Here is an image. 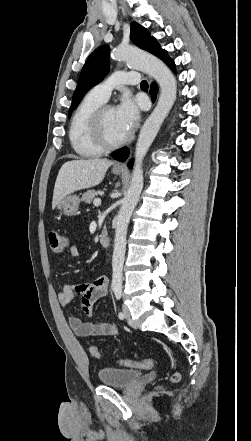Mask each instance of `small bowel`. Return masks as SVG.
<instances>
[{
    "mask_svg": "<svg viewBox=\"0 0 251 441\" xmlns=\"http://www.w3.org/2000/svg\"><path fill=\"white\" fill-rule=\"evenodd\" d=\"M70 254L74 257L79 256V249L74 245L71 246ZM108 288L109 278L106 274H102L92 283L66 284L58 293L57 299L62 306H68L78 295L82 310L91 316L94 303L107 295ZM68 323L72 331L80 337L113 336L118 333L116 326L109 322H83L77 316H70Z\"/></svg>",
    "mask_w": 251,
    "mask_h": 441,
    "instance_id": "c3829d8e",
    "label": "small bowel"
}]
</instances>
